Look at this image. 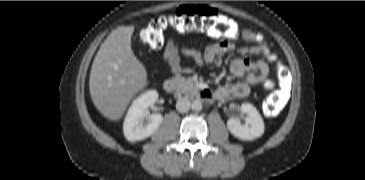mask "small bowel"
<instances>
[{"label":"small bowel","instance_id":"small-bowel-1","mask_svg":"<svg viewBox=\"0 0 365 180\" xmlns=\"http://www.w3.org/2000/svg\"><path fill=\"white\" fill-rule=\"evenodd\" d=\"M242 45L231 41H220L207 46L204 50L179 46L173 37L165 43L163 57L174 73H190L194 67L205 63H217L221 55L237 52L243 57L235 56L230 60V71L239 80L232 85H223L215 92L219 100L227 98L243 99L250 94L251 88L262 83L268 76L269 53L267 48L257 41V34L248 28L240 31ZM182 57L192 60L194 66H184Z\"/></svg>","mask_w":365,"mask_h":180}]
</instances>
